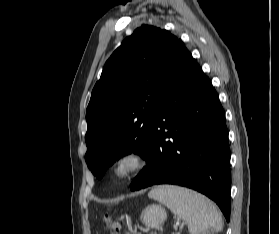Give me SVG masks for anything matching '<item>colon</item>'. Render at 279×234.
I'll use <instances>...</instances> for the list:
<instances>
[{
  "mask_svg": "<svg viewBox=\"0 0 279 234\" xmlns=\"http://www.w3.org/2000/svg\"><path fill=\"white\" fill-rule=\"evenodd\" d=\"M104 222L106 226V234H116L119 228V223L113 220L109 215L104 216Z\"/></svg>",
  "mask_w": 279,
  "mask_h": 234,
  "instance_id": "colon-1",
  "label": "colon"
}]
</instances>
